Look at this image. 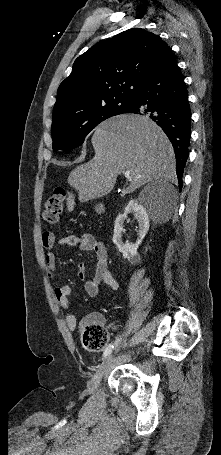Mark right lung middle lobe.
Segmentation results:
<instances>
[{
    "instance_id": "obj_1",
    "label": "right lung middle lobe",
    "mask_w": 221,
    "mask_h": 455,
    "mask_svg": "<svg viewBox=\"0 0 221 455\" xmlns=\"http://www.w3.org/2000/svg\"><path fill=\"white\" fill-rule=\"evenodd\" d=\"M131 99L116 98L100 102L65 119L52 122L53 150L70 151L80 146L100 122L125 113Z\"/></svg>"
}]
</instances>
